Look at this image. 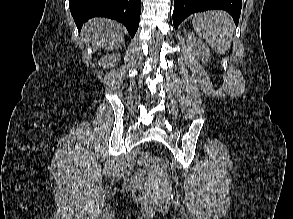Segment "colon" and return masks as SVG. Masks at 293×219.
Returning <instances> with one entry per match:
<instances>
[{
  "label": "colon",
  "mask_w": 293,
  "mask_h": 219,
  "mask_svg": "<svg viewBox=\"0 0 293 219\" xmlns=\"http://www.w3.org/2000/svg\"><path fill=\"white\" fill-rule=\"evenodd\" d=\"M140 161L145 166L156 167V168H165L168 164L167 160L162 157H156L151 155L148 152H143L140 156ZM133 196L136 200L148 203L152 196L150 188L144 184H135L133 190Z\"/></svg>",
  "instance_id": "colon-1"
}]
</instances>
